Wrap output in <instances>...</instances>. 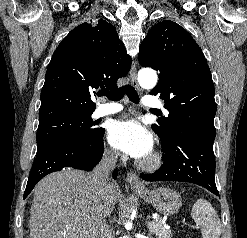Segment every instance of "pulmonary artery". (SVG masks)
<instances>
[{"label":"pulmonary artery","instance_id":"1","mask_svg":"<svg viewBox=\"0 0 247 238\" xmlns=\"http://www.w3.org/2000/svg\"><path fill=\"white\" fill-rule=\"evenodd\" d=\"M142 104L151 109H156L161 107L160 101L153 96H145L142 100ZM122 110H123V106L119 103H105L97 107V109L95 110V115L97 117L111 115L118 113Z\"/></svg>","mask_w":247,"mask_h":238}]
</instances>
